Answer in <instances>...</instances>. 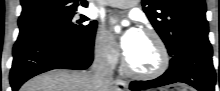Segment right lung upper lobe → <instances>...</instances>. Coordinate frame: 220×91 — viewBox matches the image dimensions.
Here are the masks:
<instances>
[{"instance_id":"1","label":"right lung upper lobe","mask_w":220,"mask_h":91,"mask_svg":"<svg viewBox=\"0 0 220 91\" xmlns=\"http://www.w3.org/2000/svg\"><path fill=\"white\" fill-rule=\"evenodd\" d=\"M23 7L18 24H25L36 19L64 12L76 11L77 0H21ZM81 5L86 7L87 2L82 1Z\"/></svg>"}]
</instances>
